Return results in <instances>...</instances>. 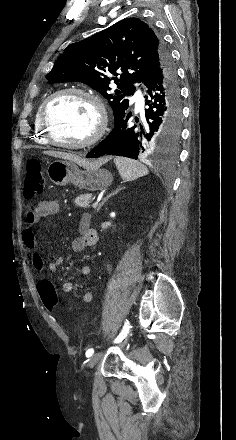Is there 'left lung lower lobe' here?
Here are the masks:
<instances>
[{
  "mask_svg": "<svg viewBox=\"0 0 236 440\" xmlns=\"http://www.w3.org/2000/svg\"><path fill=\"white\" fill-rule=\"evenodd\" d=\"M148 94L142 121L128 124L131 113L126 111L115 118L111 133L86 157L117 155L133 159L145 151L172 146L180 133L182 118L180 89L175 66L169 52L155 57L141 81Z\"/></svg>",
  "mask_w": 236,
  "mask_h": 440,
  "instance_id": "left-lung-lower-lobe-1",
  "label": "left lung lower lobe"
}]
</instances>
